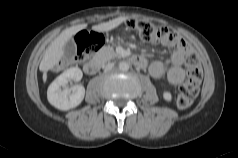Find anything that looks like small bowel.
Wrapping results in <instances>:
<instances>
[{
  "mask_svg": "<svg viewBox=\"0 0 238 158\" xmlns=\"http://www.w3.org/2000/svg\"><path fill=\"white\" fill-rule=\"evenodd\" d=\"M162 44L172 49L170 57L171 66L167 68L163 61L157 60L149 65V73L155 79L166 77L171 84L180 85L186 78L183 64L187 55L192 52V49L182 37L176 34H173L171 38L163 40Z\"/></svg>",
  "mask_w": 238,
  "mask_h": 158,
  "instance_id": "small-bowel-1",
  "label": "small bowel"
}]
</instances>
